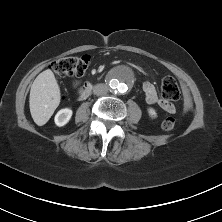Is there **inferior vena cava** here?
Masks as SVG:
<instances>
[{"mask_svg":"<svg viewBox=\"0 0 222 222\" xmlns=\"http://www.w3.org/2000/svg\"><path fill=\"white\" fill-rule=\"evenodd\" d=\"M109 88L106 84L100 83L94 86L93 93L97 96L106 95Z\"/></svg>","mask_w":222,"mask_h":222,"instance_id":"obj_1","label":"inferior vena cava"}]
</instances>
